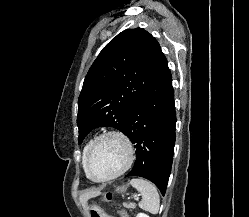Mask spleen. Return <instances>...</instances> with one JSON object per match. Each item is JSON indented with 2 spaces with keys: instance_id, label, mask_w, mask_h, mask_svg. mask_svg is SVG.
Masks as SVG:
<instances>
[{
  "instance_id": "1",
  "label": "spleen",
  "mask_w": 249,
  "mask_h": 217,
  "mask_svg": "<svg viewBox=\"0 0 249 217\" xmlns=\"http://www.w3.org/2000/svg\"><path fill=\"white\" fill-rule=\"evenodd\" d=\"M130 184L142 195L139 207L151 214H157L159 211L160 198L156 186L142 178H133Z\"/></svg>"
}]
</instances>
